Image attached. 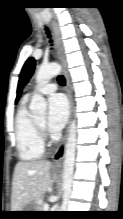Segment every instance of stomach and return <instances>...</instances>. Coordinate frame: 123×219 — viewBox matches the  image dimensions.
I'll return each instance as SVG.
<instances>
[{
  "mask_svg": "<svg viewBox=\"0 0 123 219\" xmlns=\"http://www.w3.org/2000/svg\"><path fill=\"white\" fill-rule=\"evenodd\" d=\"M22 211H35V203L34 202L29 203ZM29 215H31L30 212H24L21 214V216L23 217H26Z\"/></svg>",
  "mask_w": 123,
  "mask_h": 219,
  "instance_id": "0dacf381",
  "label": "stomach"
}]
</instances>
